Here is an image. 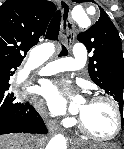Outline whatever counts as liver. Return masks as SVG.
Wrapping results in <instances>:
<instances>
[{"label":"liver","instance_id":"obj_1","mask_svg":"<svg viewBox=\"0 0 124 149\" xmlns=\"http://www.w3.org/2000/svg\"><path fill=\"white\" fill-rule=\"evenodd\" d=\"M30 139H34V136L25 134H11L0 136V149H28ZM42 143V139L39 138L38 146Z\"/></svg>","mask_w":124,"mask_h":149}]
</instances>
